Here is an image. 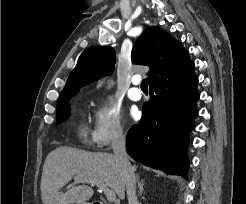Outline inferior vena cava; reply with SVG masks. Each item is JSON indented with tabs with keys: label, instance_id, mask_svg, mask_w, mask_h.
Instances as JSON below:
<instances>
[{
	"label": "inferior vena cava",
	"instance_id": "obj_1",
	"mask_svg": "<svg viewBox=\"0 0 246 204\" xmlns=\"http://www.w3.org/2000/svg\"><path fill=\"white\" fill-rule=\"evenodd\" d=\"M115 158L121 165L127 192L128 204H138L136 197V178L126 152V137L119 131L112 144Z\"/></svg>",
	"mask_w": 246,
	"mask_h": 204
}]
</instances>
